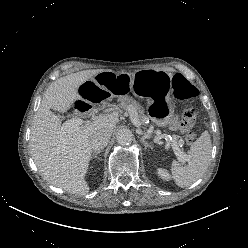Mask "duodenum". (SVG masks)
Listing matches in <instances>:
<instances>
[{"instance_id": "1", "label": "duodenum", "mask_w": 248, "mask_h": 248, "mask_svg": "<svg viewBox=\"0 0 248 248\" xmlns=\"http://www.w3.org/2000/svg\"><path fill=\"white\" fill-rule=\"evenodd\" d=\"M93 109V106L86 102H77L76 103V110L81 114H87L91 112Z\"/></svg>"}]
</instances>
